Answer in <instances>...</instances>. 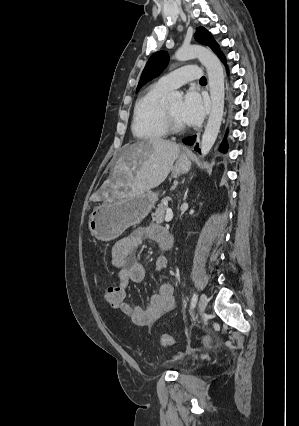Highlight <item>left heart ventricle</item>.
<instances>
[{
	"mask_svg": "<svg viewBox=\"0 0 299 426\" xmlns=\"http://www.w3.org/2000/svg\"><path fill=\"white\" fill-rule=\"evenodd\" d=\"M181 105H182V102H181V101H173V102H170V103H169V106H170L171 112H172V114H173V116H174L175 120H176L178 123L183 124V122H182V120H181V118H180V109H181Z\"/></svg>",
	"mask_w": 299,
	"mask_h": 426,
	"instance_id": "b2bd125f",
	"label": "left heart ventricle"
}]
</instances>
